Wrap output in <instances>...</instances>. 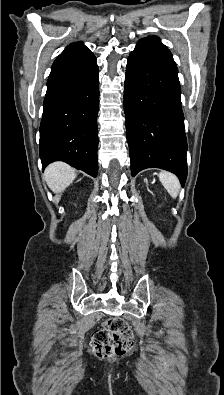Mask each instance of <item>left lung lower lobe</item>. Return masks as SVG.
I'll list each match as a JSON object with an SVG mask.
<instances>
[{"label":"left lung lower lobe","instance_id":"obj_1","mask_svg":"<svg viewBox=\"0 0 224 395\" xmlns=\"http://www.w3.org/2000/svg\"><path fill=\"white\" fill-rule=\"evenodd\" d=\"M178 70L163 44L140 40L125 77L124 110L131 173L156 167L187 176V140Z\"/></svg>","mask_w":224,"mask_h":395}]
</instances>
